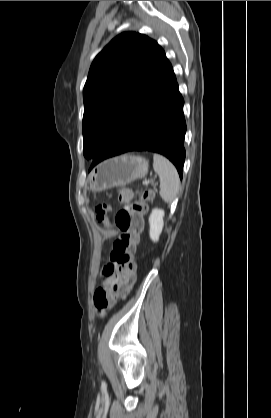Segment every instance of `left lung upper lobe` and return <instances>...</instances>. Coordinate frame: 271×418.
<instances>
[{"mask_svg":"<svg viewBox=\"0 0 271 418\" xmlns=\"http://www.w3.org/2000/svg\"><path fill=\"white\" fill-rule=\"evenodd\" d=\"M156 41L135 32L115 37L94 59L83 89V153L94 159L167 65Z\"/></svg>","mask_w":271,"mask_h":418,"instance_id":"1","label":"left lung upper lobe"}]
</instances>
